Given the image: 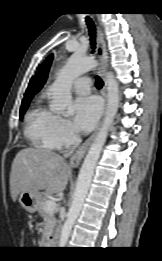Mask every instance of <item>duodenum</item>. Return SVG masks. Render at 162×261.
<instances>
[{
    "label": "duodenum",
    "mask_w": 162,
    "mask_h": 261,
    "mask_svg": "<svg viewBox=\"0 0 162 261\" xmlns=\"http://www.w3.org/2000/svg\"><path fill=\"white\" fill-rule=\"evenodd\" d=\"M56 243V237L53 234H50L47 238V244L50 246L55 245Z\"/></svg>",
    "instance_id": "obj_1"
}]
</instances>
